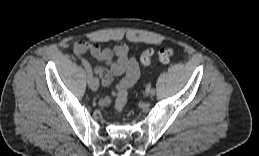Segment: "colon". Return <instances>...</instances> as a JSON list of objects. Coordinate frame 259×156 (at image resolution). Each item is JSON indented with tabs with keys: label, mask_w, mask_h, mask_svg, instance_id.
I'll return each mask as SVG.
<instances>
[{
	"label": "colon",
	"mask_w": 259,
	"mask_h": 156,
	"mask_svg": "<svg viewBox=\"0 0 259 156\" xmlns=\"http://www.w3.org/2000/svg\"><path fill=\"white\" fill-rule=\"evenodd\" d=\"M174 50L171 47H164L158 52V60L161 62H168L173 56ZM154 60L153 49H145L140 55V61L144 66L150 65ZM127 103V89L119 87L115 93V109L118 114L122 113Z\"/></svg>",
	"instance_id": "obj_1"
}]
</instances>
